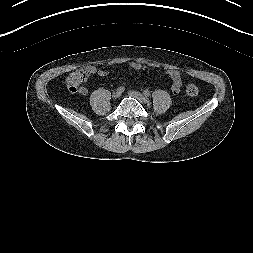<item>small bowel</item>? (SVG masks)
Returning a JSON list of instances; mask_svg holds the SVG:
<instances>
[{
	"label": "small bowel",
	"mask_w": 253,
	"mask_h": 253,
	"mask_svg": "<svg viewBox=\"0 0 253 253\" xmlns=\"http://www.w3.org/2000/svg\"><path fill=\"white\" fill-rule=\"evenodd\" d=\"M130 67L133 69H142L144 66L141 63L138 62H132L130 64ZM91 71V73L97 72L99 76H105L107 74L106 71L104 70H98L96 71V68L94 66H89L88 67ZM166 74L169 76L171 80V89L173 92L177 93L181 89V75L178 71L174 69H167ZM79 93L81 95H86L87 94V88L85 86H81Z\"/></svg>",
	"instance_id": "obj_1"
}]
</instances>
